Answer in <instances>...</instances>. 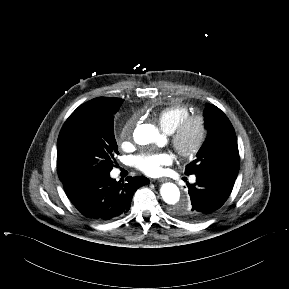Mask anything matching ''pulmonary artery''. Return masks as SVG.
I'll use <instances>...</instances> for the list:
<instances>
[{
  "instance_id": "obj_1",
  "label": "pulmonary artery",
  "mask_w": 289,
  "mask_h": 289,
  "mask_svg": "<svg viewBox=\"0 0 289 289\" xmlns=\"http://www.w3.org/2000/svg\"><path fill=\"white\" fill-rule=\"evenodd\" d=\"M191 181H195V178L193 177V178L191 179Z\"/></svg>"
}]
</instances>
